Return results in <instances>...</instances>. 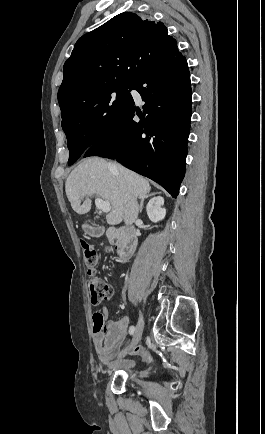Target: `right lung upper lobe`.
<instances>
[{"mask_svg": "<svg viewBox=\"0 0 265 434\" xmlns=\"http://www.w3.org/2000/svg\"><path fill=\"white\" fill-rule=\"evenodd\" d=\"M176 46L162 22L132 12L118 14L78 39L64 64L58 97L109 78L135 81Z\"/></svg>", "mask_w": 265, "mask_h": 434, "instance_id": "right-lung-upper-lobe-1", "label": "right lung upper lobe"}]
</instances>
